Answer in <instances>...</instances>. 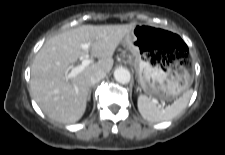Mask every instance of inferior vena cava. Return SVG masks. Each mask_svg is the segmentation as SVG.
<instances>
[{"instance_id": "inferior-vena-cava-1", "label": "inferior vena cava", "mask_w": 225, "mask_h": 155, "mask_svg": "<svg viewBox=\"0 0 225 155\" xmlns=\"http://www.w3.org/2000/svg\"><path fill=\"white\" fill-rule=\"evenodd\" d=\"M106 73L102 70H98L96 72H94L91 77H90V82L91 84H96L98 82H100L103 78H105Z\"/></svg>"}]
</instances>
